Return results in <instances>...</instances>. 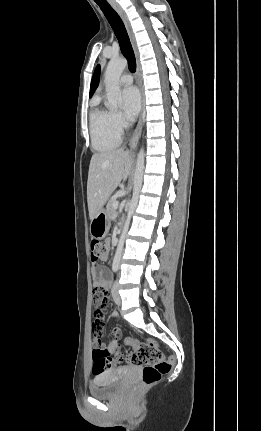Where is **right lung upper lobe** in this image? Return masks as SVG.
<instances>
[{"label": "right lung upper lobe", "mask_w": 261, "mask_h": 431, "mask_svg": "<svg viewBox=\"0 0 261 431\" xmlns=\"http://www.w3.org/2000/svg\"><path fill=\"white\" fill-rule=\"evenodd\" d=\"M99 76H100V66L98 65L95 69L92 81H91V86H90V94L89 96H91L93 94V92L95 91V89L97 88L98 84H99Z\"/></svg>", "instance_id": "1"}]
</instances>
